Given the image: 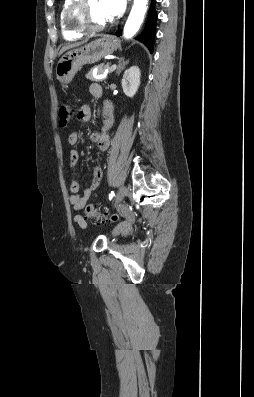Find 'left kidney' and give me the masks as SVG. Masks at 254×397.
I'll return each instance as SVG.
<instances>
[{
	"mask_svg": "<svg viewBox=\"0 0 254 397\" xmlns=\"http://www.w3.org/2000/svg\"><path fill=\"white\" fill-rule=\"evenodd\" d=\"M140 69L137 66H132L124 72L122 79V88L128 97H133L140 85Z\"/></svg>",
	"mask_w": 254,
	"mask_h": 397,
	"instance_id": "1",
	"label": "left kidney"
}]
</instances>
